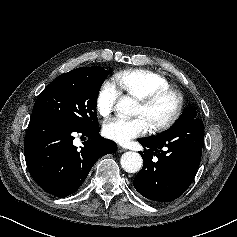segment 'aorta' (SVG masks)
I'll return each mask as SVG.
<instances>
[{"instance_id":"obj_1","label":"aorta","mask_w":237,"mask_h":237,"mask_svg":"<svg viewBox=\"0 0 237 237\" xmlns=\"http://www.w3.org/2000/svg\"><path fill=\"white\" fill-rule=\"evenodd\" d=\"M135 106L136 102L132 98L125 97L118 101L116 110L122 115L131 116L133 115ZM120 163L126 172L135 173L142 168L143 160L138 153L128 151L121 156Z\"/></svg>"}]
</instances>
